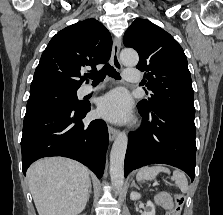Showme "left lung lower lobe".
Instances as JSON below:
<instances>
[{
  "mask_svg": "<svg viewBox=\"0 0 223 215\" xmlns=\"http://www.w3.org/2000/svg\"><path fill=\"white\" fill-rule=\"evenodd\" d=\"M141 128L129 133L125 177L134 169L154 163L169 164L195 177V113L169 107L142 108Z\"/></svg>",
  "mask_w": 223,
  "mask_h": 215,
  "instance_id": "left-lung-lower-lobe-1",
  "label": "left lung lower lobe"
}]
</instances>
